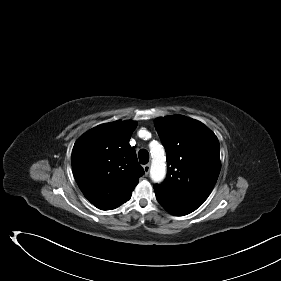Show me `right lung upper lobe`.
Segmentation results:
<instances>
[{
  "instance_id": "1",
  "label": "right lung upper lobe",
  "mask_w": 281,
  "mask_h": 281,
  "mask_svg": "<svg viewBox=\"0 0 281 281\" xmlns=\"http://www.w3.org/2000/svg\"><path fill=\"white\" fill-rule=\"evenodd\" d=\"M135 121L101 124L85 133L72 151V169L84 196L101 210L119 207L131 198L144 174L129 144Z\"/></svg>"
}]
</instances>
